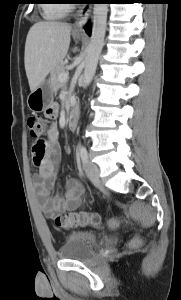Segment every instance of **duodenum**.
<instances>
[{
    "instance_id": "duodenum-1",
    "label": "duodenum",
    "mask_w": 181,
    "mask_h": 300,
    "mask_svg": "<svg viewBox=\"0 0 181 300\" xmlns=\"http://www.w3.org/2000/svg\"><path fill=\"white\" fill-rule=\"evenodd\" d=\"M79 111L77 107H73L68 117V128L74 131L78 124Z\"/></svg>"
}]
</instances>
